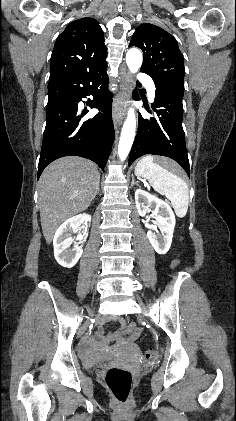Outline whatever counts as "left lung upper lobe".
Returning a JSON list of instances; mask_svg holds the SVG:
<instances>
[{
  "instance_id": "5c2ea615",
  "label": "left lung upper lobe",
  "mask_w": 236,
  "mask_h": 421,
  "mask_svg": "<svg viewBox=\"0 0 236 421\" xmlns=\"http://www.w3.org/2000/svg\"><path fill=\"white\" fill-rule=\"evenodd\" d=\"M139 47L144 54L141 71L155 83L184 90V60L176 40L162 28L143 23L132 35L129 47Z\"/></svg>"
}]
</instances>
